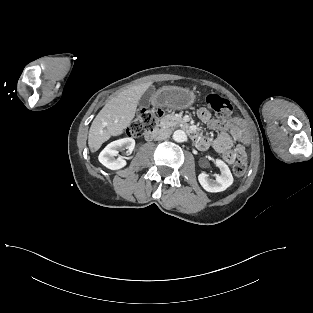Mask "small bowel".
I'll return each mask as SVG.
<instances>
[{
  "label": "small bowel",
  "mask_w": 313,
  "mask_h": 313,
  "mask_svg": "<svg viewBox=\"0 0 313 313\" xmlns=\"http://www.w3.org/2000/svg\"><path fill=\"white\" fill-rule=\"evenodd\" d=\"M198 117L208 128L218 131V135L212 139L198 134L195 144L199 150L212 148L223 154V156L231 153L234 158L246 159V148L250 143V135L242 119L238 117L217 119L212 117L210 111L206 108L198 110ZM234 143H237V145L233 149Z\"/></svg>",
  "instance_id": "c3829d8e"
}]
</instances>
